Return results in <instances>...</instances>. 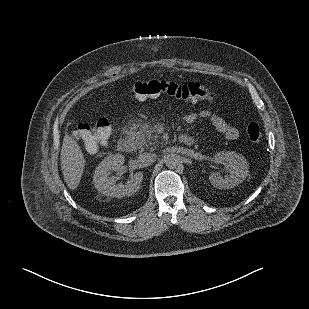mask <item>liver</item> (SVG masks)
Wrapping results in <instances>:
<instances>
[{
  "label": "liver",
  "instance_id": "6515ba94",
  "mask_svg": "<svg viewBox=\"0 0 309 309\" xmlns=\"http://www.w3.org/2000/svg\"><path fill=\"white\" fill-rule=\"evenodd\" d=\"M85 162L77 141L73 137L66 135L63 139L61 149V169L64 180L71 190L78 187L84 171Z\"/></svg>",
  "mask_w": 309,
  "mask_h": 309
}]
</instances>
